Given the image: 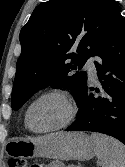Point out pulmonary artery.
<instances>
[{
    "mask_svg": "<svg viewBox=\"0 0 125 167\" xmlns=\"http://www.w3.org/2000/svg\"><path fill=\"white\" fill-rule=\"evenodd\" d=\"M85 68L89 71L91 79L95 80L96 79V68L93 63V60H88L85 64Z\"/></svg>",
    "mask_w": 125,
    "mask_h": 167,
    "instance_id": "obj_1",
    "label": "pulmonary artery"
}]
</instances>
